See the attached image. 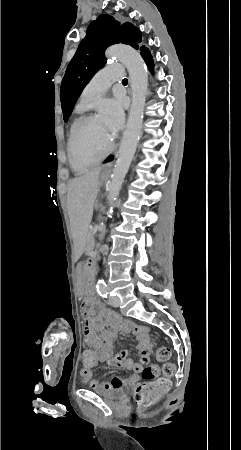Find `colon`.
Returning a JSON list of instances; mask_svg holds the SVG:
<instances>
[{
	"mask_svg": "<svg viewBox=\"0 0 241 450\" xmlns=\"http://www.w3.org/2000/svg\"><path fill=\"white\" fill-rule=\"evenodd\" d=\"M156 358L158 360H166L169 358L170 351L166 347H160L156 349ZM80 358L83 359L84 366H98V357H93V353L90 350H81ZM174 362L168 361L164 365L166 375L171 376L174 373ZM159 368L156 364H150L144 367L142 376L146 381L151 383L144 384L138 387L133 395V403L138 410H147L155 405V403L161 398L162 394L168 390V381L160 379L152 382L158 377Z\"/></svg>",
	"mask_w": 241,
	"mask_h": 450,
	"instance_id": "1",
	"label": "colon"
}]
</instances>
